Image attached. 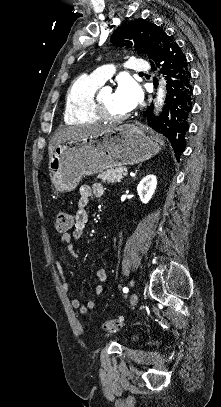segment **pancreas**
Returning a JSON list of instances; mask_svg holds the SVG:
<instances>
[{
  "label": "pancreas",
  "mask_w": 221,
  "mask_h": 407,
  "mask_svg": "<svg viewBox=\"0 0 221 407\" xmlns=\"http://www.w3.org/2000/svg\"><path fill=\"white\" fill-rule=\"evenodd\" d=\"M127 171L126 168L124 167H117V168H110L107 169L106 171H102L99 173L97 176L98 179H101L102 182H107V183H114V182H120L121 179L125 176L124 172Z\"/></svg>",
  "instance_id": "cf45deb5"
}]
</instances>
